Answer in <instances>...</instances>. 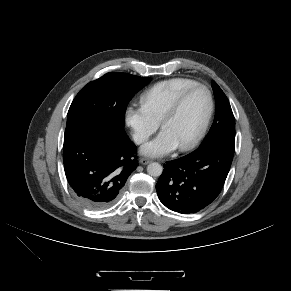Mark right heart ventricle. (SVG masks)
<instances>
[{
	"label": "right heart ventricle",
	"instance_id": "1",
	"mask_svg": "<svg viewBox=\"0 0 291 291\" xmlns=\"http://www.w3.org/2000/svg\"><path fill=\"white\" fill-rule=\"evenodd\" d=\"M197 84L195 80L176 77L155 83L145 90L141 97V105L158 122L173 103L176 97L188 87Z\"/></svg>",
	"mask_w": 291,
	"mask_h": 291
}]
</instances>
